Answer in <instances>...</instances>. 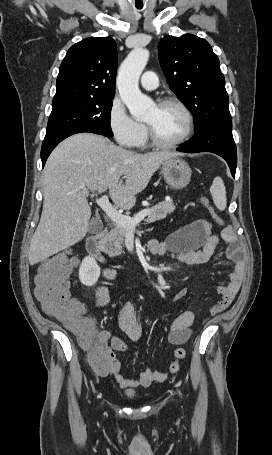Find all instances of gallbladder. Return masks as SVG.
<instances>
[{
	"label": "gallbladder",
	"instance_id": "gallbladder-1",
	"mask_svg": "<svg viewBox=\"0 0 272 455\" xmlns=\"http://www.w3.org/2000/svg\"><path fill=\"white\" fill-rule=\"evenodd\" d=\"M103 228V224L99 218H94L89 223V233H99Z\"/></svg>",
	"mask_w": 272,
	"mask_h": 455
}]
</instances>
